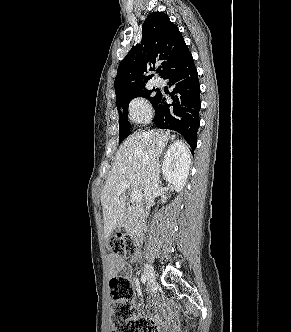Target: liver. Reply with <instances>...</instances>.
I'll return each mask as SVG.
<instances>
[{
  "label": "liver",
  "mask_w": 291,
  "mask_h": 332,
  "mask_svg": "<svg viewBox=\"0 0 291 332\" xmlns=\"http://www.w3.org/2000/svg\"><path fill=\"white\" fill-rule=\"evenodd\" d=\"M174 139L175 136H170L168 131L151 130L134 133L121 144L101 193L105 239L125 218L126 197L125 190H120L121 184L128 182L132 191L142 193L150 153L159 158L168 141ZM185 149L190 156L189 149L186 146Z\"/></svg>",
  "instance_id": "6515ba94"
}]
</instances>
